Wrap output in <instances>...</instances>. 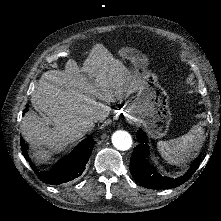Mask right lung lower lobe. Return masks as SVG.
I'll return each mask as SVG.
<instances>
[{
  "mask_svg": "<svg viewBox=\"0 0 221 221\" xmlns=\"http://www.w3.org/2000/svg\"><path fill=\"white\" fill-rule=\"evenodd\" d=\"M27 111L28 106L24 109V113ZM20 145L24 157L29 162L31 168L36 173V175L44 183L51 185H59L74 180L83 173L87 166L89 156L92 153L94 147V140L90 137L84 139L75 147V149L69 155L58 161L54 165V167L47 172L39 171L33 165L27 152L28 146L27 144H25L24 140H21Z\"/></svg>",
  "mask_w": 221,
  "mask_h": 221,
  "instance_id": "1",
  "label": "right lung lower lobe"
}]
</instances>
